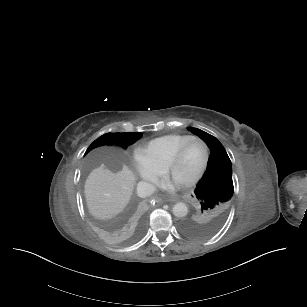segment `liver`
<instances>
[{
  "instance_id": "liver-1",
  "label": "liver",
  "mask_w": 307,
  "mask_h": 307,
  "mask_svg": "<svg viewBox=\"0 0 307 307\" xmlns=\"http://www.w3.org/2000/svg\"><path fill=\"white\" fill-rule=\"evenodd\" d=\"M134 175L120 162L102 164L94 169L85 183L90 212L100 218H111L128 203L134 186Z\"/></svg>"
}]
</instances>
